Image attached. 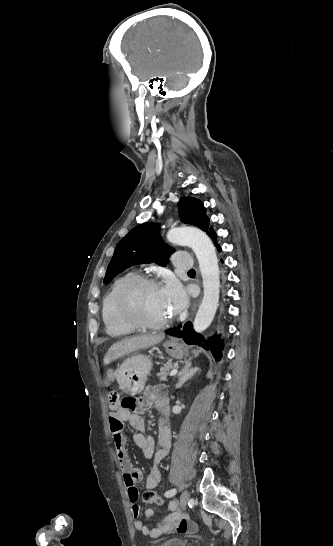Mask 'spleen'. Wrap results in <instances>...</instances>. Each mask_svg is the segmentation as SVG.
Returning a JSON list of instances; mask_svg holds the SVG:
<instances>
[{"instance_id": "spleen-1", "label": "spleen", "mask_w": 333, "mask_h": 546, "mask_svg": "<svg viewBox=\"0 0 333 546\" xmlns=\"http://www.w3.org/2000/svg\"><path fill=\"white\" fill-rule=\"evenodd\" d=\"M193 353L195 354V356H197V355H198V353H197L196 351H193Z\"/></svg>"}]
</instances>
